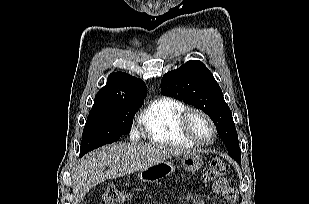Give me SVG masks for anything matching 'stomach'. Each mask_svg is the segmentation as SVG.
Returning a JSON list of instances; mask_svg holds the SVG:
<instances>
[{"label": "stomach", "instance_id": "1", "mask_svg": "<svg viewBox=\"0 0 309 204\" xmlns=\"http://www.w3.org/2000/svg\"><path fill=\"white\" fill-rule=\"evenodd\" d=\"M181 164L185 171L194 172L201 168L203 158L198 153L186 152L182 155ZM176 169L175 160L168 158L139 172V179L146 183H155L170 175Z\"/></svg>", "mask_w": 309, "mask_h": 204}]
</instances>
